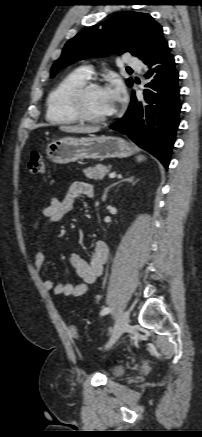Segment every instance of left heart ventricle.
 Masks as SVG:
<instances>
[{
	"mask_svg": "<svg viewBox=\"0 0 202 437\" xmlns=\"http://www.w3.org/2000/svg\"><path fill=\"white\" fill-rule=\"evenodd\" d=\"M117 103L112 99L106 88L90 90L85 97V109L94 117H104L111 114Z\"/></svg>",
	"mask_w": 202,
	"mask_h": 437,
	"instance_id": "obj_1",
	"label": "left heart ventricle"
}]
</instances>
